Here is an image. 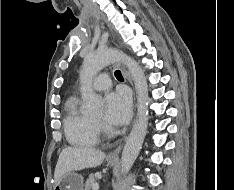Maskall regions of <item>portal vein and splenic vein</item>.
Masks as SVG:
<instances>
[{
	"mask_svg": "<svg viewBox=\"0 0 234 190\" xmlns=\"http://www.w3.org/2000/svg\"><path fill=\"white\" fill-rule=\"evenodd\" d=\"M99 189V185L96 183L92 186V190H98Z\"/></svg>",
	"mask_w": 234,
	"mask_h": 190,
	"instance_id": "portal-vein-and-splenic-vein-1",
	"label": "portal vein and splenic vein"
}]
</instances>
